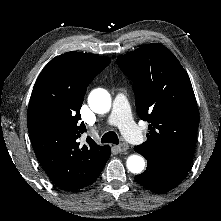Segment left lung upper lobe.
I'll use <instances>...</instances> for the list:
<instances>
[{"label":"left lung upper lobe","mask_w":221,"mask_h":221,"mask_svg":"<svg viewBox=\"0 0 221 221\" xmlns=\"http://www.w3.org/2000/svg\"><path fill=\"white\" fill-rule=\"evenodd\" d=\"M117 63L131 78L139 117L149 123L147 141L135 146L146 159L191 164L199 111L190 79L162 44L144 45Z\"/></svg>","instance_id":"1"}]
</instances>
